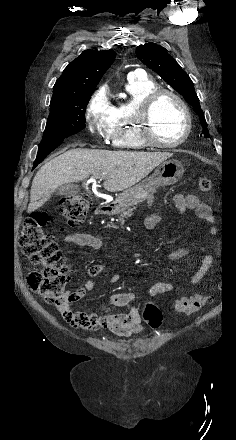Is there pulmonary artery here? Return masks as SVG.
<instances>
[{
    "instance_id": "1",
    "label": "pulmonary artery",
    "mask_w": 236,
    "mask_h": 440,
    "mask_svg": "<svg viewBox=\"0 0 236 440\" xmlns=\"http://www.w3.org/2000/svg\"><path fill=\"white\" fill-rule=\"evenodd\" d=\"M136 75L144 76L145 74L142 71L139 70V71L136 72Z\"/></svg>"
}]
</instances>
